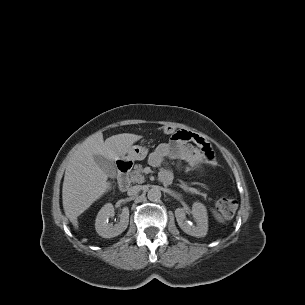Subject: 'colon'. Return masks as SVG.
I'll list each match as a JSON object with an SVG mask.
<instances>
[{"instance_id":"obj_1","label":"colon","mask_w":305,"mask_h":305,"mask_svg":"<svg viewBox=\"0 0 305 305\" xmlns=\"http://www.w3.org/2000/svg\"><path fill=\"white\" fill-rule=\"evenodd\" d=\"M162 131L165 134H172L174 136H181V132L177 131L174 127L172 126H165L163 127ZM217 207L218 210L225 216V217H232L237 208H238V202L235 198H232L230 196L224 195L219 198L217 202Z\"/></svg>"}]
</instances>
